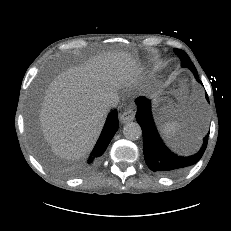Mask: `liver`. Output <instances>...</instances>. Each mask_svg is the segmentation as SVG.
I'll return each mask as SVG.
<instances>
[{
  "mask_svg": "<svg viewBox=\"0 0 231 231\" xmlns=\"http://www.w3.org/2000/svg\"><path fill=\"white\" fill-rule=\"evenodd\" d=\"M141 72L129 53L104 52L58 75L39 113L42 134L54 153L67 160L86 156L104 126L109 94L135 83Z\"/></svg>",
  "mask_w": 231,
  "mask_h": 231,
  "instance_id": "liver-1",
  "label": "liver"
}]
</instances>
